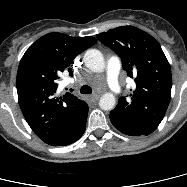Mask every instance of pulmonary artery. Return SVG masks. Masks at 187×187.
I'll list each match as a JSON object with an SVG mask.
<instances>
[{"label": "pulmonary artery", "instance_id": "1", "mask_svg": "<svg viewBox=\"0 0 187 187\" xmlns=\"http://www.w3.org/2000/svg\"><path fill=\"white\" fill-rule=\"evenodd\" d=\"M120 72V62L116 57L109 59L107 64L106 77L111 90L114 92L119 91L118 76Z\"/></svg>", "mask_w": 187, "mask_h": 187}]
</instances>
